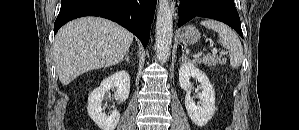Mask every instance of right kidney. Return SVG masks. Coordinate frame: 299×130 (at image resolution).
Masks as SVG:
<instances>
[{
    "mask_svg": "<svg viewBox=\"0 0 299 130\" xmlns=\"http://www.w3.org/2000/svg\"><path fill=\"white\" fill-rule=\"evenodd\" d=\"M116 88L115 99L120 103L129 97L130 76L128 72L120 70L104 79L100 86L94 89L88 96V114L101 130H115L120 113L114 107L110 116L102 112V100L110 89Z\"/></svg>",
    "mask_w": 299,
    "mask_h": 130,
    "instance_id": "right-kidney-1",
    "label": "right kidney"
}]
</instances>
